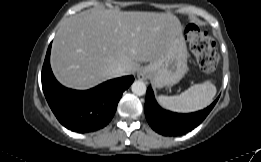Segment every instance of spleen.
<instances>
[{
  "label": "spleen",
  "mask_w": 261,
  "mask_h": 162,
  "mask_svg": "<svg viewBox=\"0 0 261 162\" xmlns=\"http://www.w3.org/2000/svg\"><path fill=\"white\" fill-rule=\"evenodd\" d=\"M216 94V87L210 81L195 84L177 96L157 97L158 103L168 110L189 113L207 107Z\"/></svg>",
  "instance_id": "obj_1"
}]
</instances>
